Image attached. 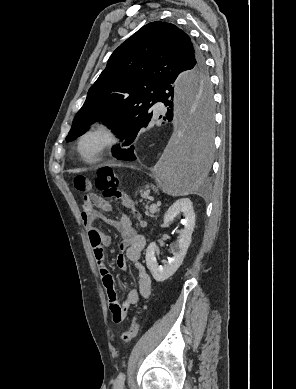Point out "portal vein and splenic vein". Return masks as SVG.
<instances>
[{"mask_svg":"<svg viewBox=\"0 0 296 389\" xmlns=\"http://www.w3.org/2000/svg\"><path fill=\"white\" fill-rule=\"evenodd\" d=\"M151 209L154 210V211H156V205H152V206H151Z\"/></svg>","mask_w":296,"mask_h":389,"instance_id":"1","label":"portal vein and splenic vein"}]
</instances>
